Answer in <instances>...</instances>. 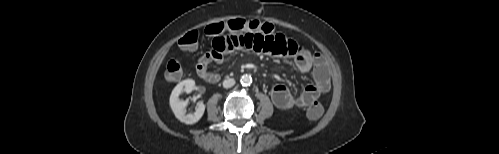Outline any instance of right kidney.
Wrapping results in <instances>:
<instances>
[{
  "label": "right kidney",
  "instance_id": "1",
  "mask_svg": "<svg viewBox=\"0 0 499 154\" xmlns=\"http://www.w3.org/2000/svg\"><path fill=\"white\" fill-rule=\"evenodd\" d=\"M194 85L195 82L192 79L183 80L176 85L170 96V106L173 113L178 120L185 124H194L198 122L205 111V105L203 103H200L197 105L196 111L194 113L186 115L185 107L187 105V101L179 99V95L182 91L190 93L193 90Z\"/></svg>",
  "mask_w": 499,
  "mask_h": 154
}]
</instances>
